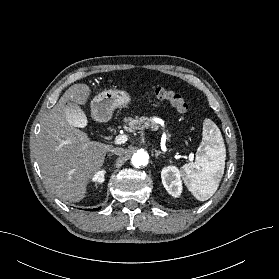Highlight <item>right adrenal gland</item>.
<instances>
[{"label": "right adrenal gland", "instance_id": "obj_1", "mask_svg": "<svg viewBox=\"0 0 279 279\" xmlns=\"http://www.w3.org/2000/svg\"><path fill=\"white\" fill-rule=\"evenodd\" d=\"M107 156H108V157H111V156H113V154H108Z\"/></svg>", "mask_w": 279, "mask_h": 279}]
</instances>
